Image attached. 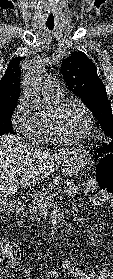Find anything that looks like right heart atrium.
Returning a JSON list of instances; mask_svg holds the SVG:
<instances>
[{
	"label": "right heart atrium",
	"mask_w": 113,
	"mask_h": 279,
	"mask_svg": "<svg viewBox=\"0 0 113 279\" xmlns=\"http://www.w3.org/2000/svg\"><path fill=\"white\" fill-rule=\"evenodd\" d=\"M11 125L16 133L30 138L35 129V117L30 113L25 97H20L11 115Z\"/></svg>",
	"instance_id": "obj_1"
}]
</instances>
